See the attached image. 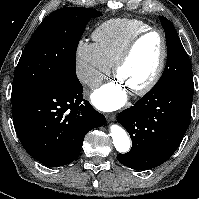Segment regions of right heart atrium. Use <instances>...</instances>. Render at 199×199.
<instances>
[{
	"label": "right heart atrium",
	"mask_w": 199,
	"mask_h": 199,
	"mask_svg": "<svg viewBox=\"0 0 199 199\" xmlns=\"http://www.w3.org/2000/svg\"><path fill=\"white\" fill-rule=\"evenodd\" d=\"M75 72L78 80L96 88L111 73V65L102 56L95 43L79 41L75 51Z\"/></svg>",
	"instance_id": "obj_1"
}]
</instances>
